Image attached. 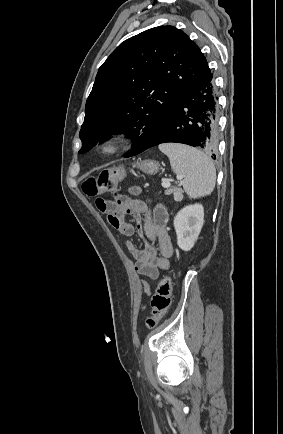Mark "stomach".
<instances>
[{
    "label": "stomach",
    "instance_id": "1",
    "mask_svg": "<svg viewBox=\"0 0 283 434\" xmlns=\"http://www.w3.org/2000/svg\"><path fill=\"white\" fill-rule=\"evenodd\" d=\"M159 163L154 160H144L137 164V167L147 174H156L159 170Z\"/></svg>",
    "mask_w": 283,
    "mask_h": 434
}]
</instances>
